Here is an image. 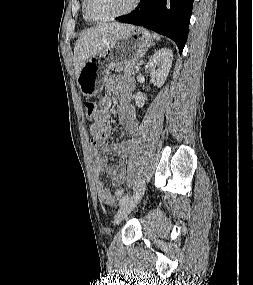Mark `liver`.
<instances>
[{
  "label": "liver",
  "mask_w": 253,
  "mask_h": 285,
  "mask_svg": "<svg viewBox=\"0 0 253 285\" xmlns=\"http://www.w3.org/2000/svg\"><path fill=\"white\" fill-rule=\"evenodd\" d=\"M134 26L128 24L111 23L88 29L78 38L74 47V63L76 75L84 64L92 57L104 51L120 36Z\"/></svg>",
  "instance_id": "1"
}]
</instances>
